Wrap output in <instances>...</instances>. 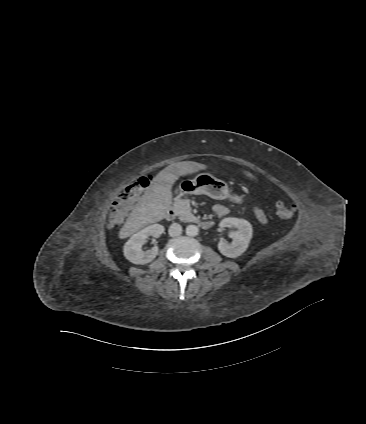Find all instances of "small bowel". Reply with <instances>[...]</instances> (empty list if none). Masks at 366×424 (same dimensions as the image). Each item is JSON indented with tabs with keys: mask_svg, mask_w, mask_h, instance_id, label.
<instances>
[{
	"mask_svg": "<svg viewBox=\"0 0 366 424\" xmlns=\"http://www.w3.org/2000/svg\"><path fill=\"white\" fill-rule=\"evenodd\" d=\"M214 211L216 213L217 216L222 217L224 215H226L228 213L227 208L224 205L221 204H217L214 206ZM253 214L255 216V218L257 219V221L261 224H265L267 223V215L264 212L263 209H261L260 207H254L252 209Z\"/></svg>",
	"mask_w": 366,
	"mask_h": 424,
	"instance_id": "small-bowel-1",
	"label": "small bowel"
}]
</instances>
